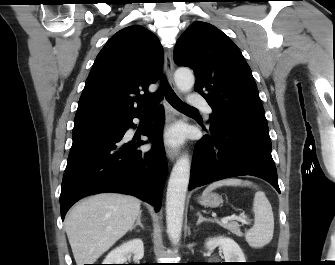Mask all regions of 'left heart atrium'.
Masks as SVG:
<instances>
[{
	"mask_svg": "<svg viewBox=\"0 0 335 265\" xmlns=\"http://www.w3.org/2000/svg\"><path fill=\"white\" fill-rule=\"evenodd\" d=\"M166 139L170 144H178L183 139V130L180 127H174L166 133Z\"/></svg>",
	"mask_w": 335,
	"mask_h": 265,
	"instance_id": "39dd6f15",
	"label": "left heart atrium"
}]
</instances>
